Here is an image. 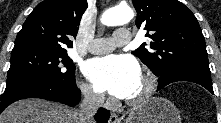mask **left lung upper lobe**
<instances>
[{
    "instance_id": "5c2ea615",
    "label": "left lung upper lobe",
    "mask_w": 221,
    "mask_h": 123,
    "mask_svg": "<svg viewBox=\"0 0 221 123\" xmlns=\"http://www.w3.org/2000/svg\"><path fill=\"white\" fill-rule=\"evenodd\" d=\"M136 26L147 30L143 43L132 53L158 77L184 68L210 71L205 39L194 14L177 0H132Z\"/></svg>"
}]
</instances>
